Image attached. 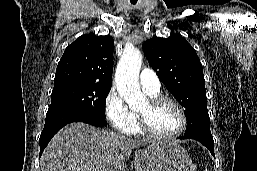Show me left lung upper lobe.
<instances>
[{"label":"left lung upper lobe","instance_id":"left-lung-upper-lobe-1","mask_svg":"<svg viewBox=\"0 0 257 171\" xmlns=\"http://www.w3.org/2000/svg\"><path fill=\"white\" fill-rule=\"evenodd\" d=\"M143 50L159 79L185 108L184 135H211L203 69L194 48L181 35H172L147 40Z\"/></svg>","mask_w":257,"mask_h":171}]
</instances>
